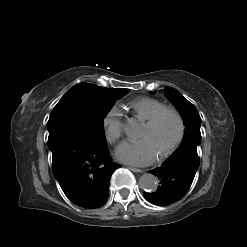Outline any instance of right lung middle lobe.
I'll return each mask as SVG.
<instances>
[{"label":"right lung middle lobe","instance_id":"1","mask_svg":"<svg viewBox=\"0 0 247 247\" xmlns=\"http://www.w3.org/2000/svg\"><path fill=\"white\" fill-rule=\"evenodd\" d=\"M128 91L89 83L75 85L54 107L47 129L49 132L55 130L73 132L95 144L106 145L103 131L104 117L115 101Z\"/></svg>","mask_w":247,"mask_h":247}]
</instances>
